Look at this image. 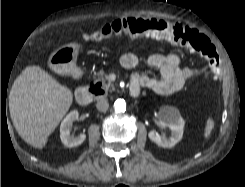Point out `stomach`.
<instances>
[{"instance_id": "stomach-1", "label": "stomach", "mask_w": 245, "mask_h": 187, "mask_svg": "<svg viewBox=\"0 0 245 187\" xmlns=\"http://www.w3.org/2000/svg\"><path fill=\"white\" fill-rule=\"evenodd\" d=\"M80 46L70 43L58 48L49 57V67L58 74L71 72L76 66Z\"/></svg>"}]
</instances>
